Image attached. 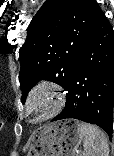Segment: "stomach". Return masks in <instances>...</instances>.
I'll return each mask as SVG.
<instances>
[{
    "mask_svg": "<svg viewBox=\"0 0 114 156\" xmlns=\"http://www.w3.org/2000/svg\"><path fill=\"white\" fill-rule=\"evenodd\" d=\"M79 123L66 119L41 127L31 139L27 156H76L83 140Z\"/></svg>",
    "mask_w": 114,
    "mask_h": 156,
    "instance_id": "0dacf381",
    "label": "stomach"
}]
</instances>
